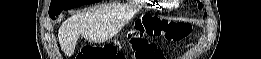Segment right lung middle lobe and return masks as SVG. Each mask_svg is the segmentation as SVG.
Returning <instances> with one entry per match:
<instances>
[{
  "instance_id": "right-lung-middle-lobe-1",
  "label": "right lung middle lobe",
  "mask_w": 261,
  "mask_h": 59,
  "mask_svg": "<svg viewBox=\"0 0 261 59\" xmlns=\"http://www.w3.org/2000/svg\"><path fill=\"white\" fill-rule=\"evenodd\" d=\"M100 0H52L49 8V16L56 17L64 10H69L86 4L97 3Z\"/></svg>"
}]
</instances>
